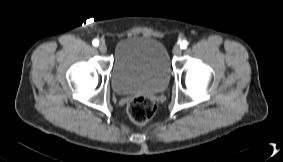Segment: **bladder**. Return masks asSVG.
<instances>
[{"mask_svg": "<svg viewBox=\"0 0 283 162\" xmlns=\"http://www.w3.org/2000/svg\"><path fill=\"white\" fill-rule=\"evenodd\" d=\"M170 75L169 55L159 40L129 36L117 42L111 70V84L117 94L162 92Z\"/></svg>", "mask_w": 283, "mask_h": 162, "instance_id": "31cf9c89", "label": "bladder"}]
</instances>
